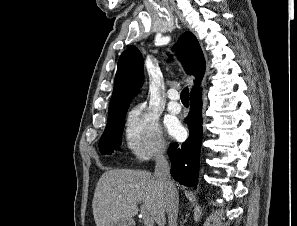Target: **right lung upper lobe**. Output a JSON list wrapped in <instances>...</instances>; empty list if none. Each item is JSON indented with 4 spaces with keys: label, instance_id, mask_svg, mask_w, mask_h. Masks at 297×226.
<instances>
[{
    "label": "right lung upper lobe",
    "instance_id": "cb5924a9",
    "mask_svg": "<svg viewBox=\"0 0 297 226\" xmlns=\"http://www.w3.org/2000/svg\"><path fill=\"white\" fill-rule=\"evenodd\" d=\"M173 50L180 54L186 73L194 75L199 84L205 72V59L196 37L191 32H185ZM143 79L142 55L135 46H131L119 58L109 109L129 106ZM197 88L194 87L192 91Z\"/></svg>",
    "mask_w": 297,
    "mask_h": 226
}]
</instances>
